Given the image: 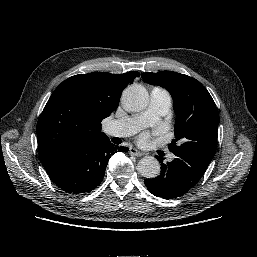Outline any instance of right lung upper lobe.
Returning <instances> with one entry per match:
<instances>
[{"label": "right lung upper lobe", "instance_id": "right-lung-upper-lobe-1", "mask_svg": "<svg viewBox=\"0 0 257 257\" xmlns=\"http://www.w3.org/2000/svg\"><path fill=\"white\" fill-rule=\"evenodd\" d=\"M92 72L63 81L52 93L37 124L40 161L74 145L106 139L101 121L119 105L122 90L139 77Z\"/></svg>", "mask_w": 257, "mask_h": 257}]
</instances>
